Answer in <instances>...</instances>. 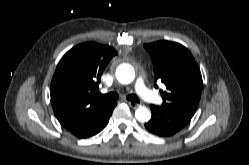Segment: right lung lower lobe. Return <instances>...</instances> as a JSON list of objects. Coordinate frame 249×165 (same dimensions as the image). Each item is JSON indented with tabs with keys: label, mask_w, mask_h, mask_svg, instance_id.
Returning <instances> with one entry per match:
<instances>
[{
	"label": "right lung lower lobe",
	"mask_w": 249,
	"mask_h": 165,
	"mask_svg": "<svg viewBox=\"0 0 249 165\" xmlns=\"http://www.w3.org/2000/svg\"><path fill=\"white\" fill-rule=\"evenodd\" d=\"M116 106V103L112 102L105 110L97 115L92 120L70 129L69 131L78 138H88L100 132L109 121V118Z\"/></svg>",
	"instance_id": "obj_1"
}]
</instances>
